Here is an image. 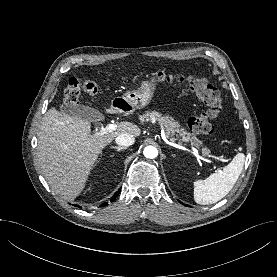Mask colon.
Here are the masks:
<instances>
[{
	"label": "colon",
	"mask_w": 277,
	"mask_h": 277,
	"mask_svg": "<svg viewBox=\"0 0 277 277\" xmlns=\"http://www.w3.org/2000/svg\"><path fill=\"white\" fill-rule=\"evenodd\" d=\"M151 77L170 82L171 76H167L162 71L151 72ZM175 81L179 84H186L193 91L196 97L207 107L206 111L189 119V129L196 134L209 136L213 133V122L220 119L223 111V98L220 92L210 84L208 80L196 76L176 77ZM90 95L99 92V86L91 80L81 81L78 78H71L64 91V100L69 104L78 103L81 91Z\"/></svg>",
	"instance_id": "obj_1"
}]
</instances>
